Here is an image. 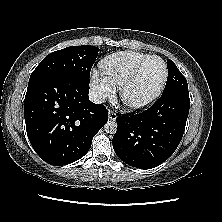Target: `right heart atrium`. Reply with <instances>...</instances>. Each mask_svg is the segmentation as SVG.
<instances>
[{
  "instance_id": "d8ad5b80",
  "label": "right heart atrium",
  "mask_w": 222,
  "mask_h": 222,
  "mask_svg": "<svg viewBox=\"0 0 222 222\" xmlns=\"http://www.w3.org/2000/svg\"><path fill=\"white\" fill-rule=\"evenodd\" d=\"M90 86L98 101L113 97L116 92L113 83L104 74L95 70L92 71L90 76Z\"/></svg>"
}]
</instances>
